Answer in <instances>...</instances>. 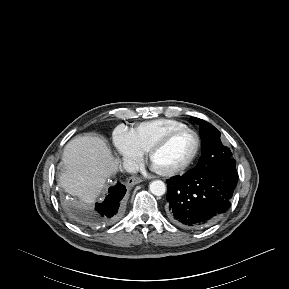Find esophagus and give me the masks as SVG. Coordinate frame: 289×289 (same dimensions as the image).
<instances>
[{
    "label": "esophagus",
    "mask_w": 289,
    "mask_h": 289,
    "mask_svg": "<svg viewBox=\"0 0 289 289\" xmlns=\"http://www.w3.org/2000/svg\"><path fill=\"white\" fill-rule=\"evenodd\" d=\"M143 181V179L141 177L138 176H132L128 179V185L129 186H134L138 183H141Z\"/></svg>",
    "instance_id": "obj_1"
}]
</instances>
